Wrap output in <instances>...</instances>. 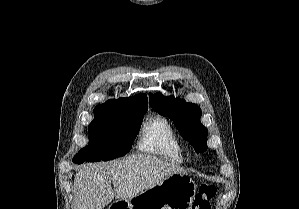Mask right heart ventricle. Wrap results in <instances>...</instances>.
<instances>
[{"instance_id": "e07e8e85", "label": "right heart ventricle", "mask_w": 299, "mask_h": 209, "mask_svg": "<svg viewBox=\"0 0 299 209\" xmlns=\"http://www.w3.org/2000/svg\"><path fill=\"white\" fill-rule=\"evenodd\" d=\"M140 150L181 164L185 159V149L171 125L163 118L154 117L147 121L138 142Z\"/></svg>"}]
</instances>
